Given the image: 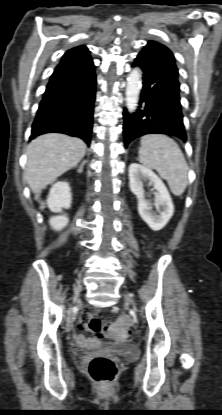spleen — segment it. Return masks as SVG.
Returning <instances> with one entry per match:
<instances>
[{
  "instance_id": "obj_1",
  "label": "spleen",
  "mask_w": 222,
  "mask_h": 415,
  "mask_svg": "<svg viewBox=\"0 0 222 415\" xmlns=\"http://www.w3.org/2000/svg\"><path fill=\"white\" fill-rule=\"evenodd\" d=\"M139 159L144 166L155 169L167 181L175 196L184 193L188 184V165L173 139L161 134L143 136Z\"/></svg>"
}]
</instances>
